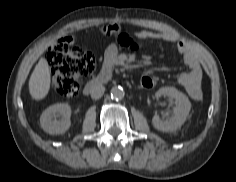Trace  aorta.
Listing matches in <instances>:
<instances>
[{"label": "aorta", "mask_w": 236, "mask_h": 182, "mask_svg": "<svg viewBox=\"0 0 236 182\" xmlns=\"http://www.w3.org/2000/svg\"><path fill=\"white\" fill-rule=\"evenodd\" d=\"M124 96H125V92L122 87H120V86L112 87L111 97L113 99L120 100V99L124 98Z\"/></svg>", "instance_id": "obj_1"}]
</instances>
